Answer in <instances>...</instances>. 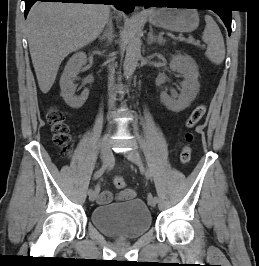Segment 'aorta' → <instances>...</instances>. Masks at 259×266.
Listing matches in <instances>:
<instances>
[{
    "label": "aorta",
    "mask_w": 259,
    "mask_h": 266,
    "mask_svg": "<svg viewBox=\"0 0 259 266\" xmlns=\"http://www.w3.org/2000/svg\"><path fill=\"white\" fill-rule=\"evenodd\" d=\"M141 25L136 16H132L130 20V36L126 49V55L124 60V74L127 77H131L137 67L138 60L141 56Z\"/></svg>",
    "instance_id": "obj_1"
}]
</instances>
